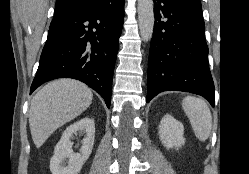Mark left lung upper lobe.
Masks as SVG:
<instances>
[{
  "label": "left lung upper lobe",
  "instance_id": "1",
  "mask_svg": "<svg viewBox=\"0 0 249 174\" xmlns=\"http://www.w3.org/2000/svg\"><path fill=\"white\" fill-rule=\"evenodd\" d=\"M178 1L182 3L185 7H187L189 10L194 11L200 15H203L200 0H178Z\"/></svg>",
  "mask_w": 249,
  "mask_h": 174
}]
</instances>
